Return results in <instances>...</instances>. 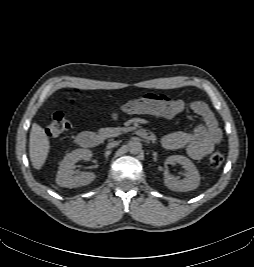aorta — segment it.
<instances>
[{
	"instance_id": "1",
	"label": "aorta",
	"mask_w": 254,
	"mask_h": 267,
	"mask_svg": "<svg viewBox=\"0 0 254 267\" xmlns=\"http://www.w3.org/2000/svg\"><path fill=\"white\" fill-rule=\"evenodd\" d=\"M128 149L131 154L137 155L142 151V144L137 140H133L128 144Z\"/></svg>"
}]
</instances>
